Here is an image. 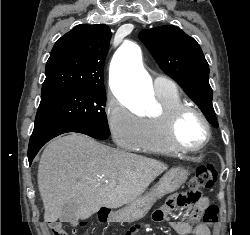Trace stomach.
<instances>
[{
    "label": "stomach",
    "mask_w": 250,
    "mask_h": 235,
    "mask_svg": "<svg viewBox=\"0 0 250 235\" xmlns=\"http://www.w3.org/2000/svg\"><path fill=\"white\" fill-rule=\"evenodd\" d=\"M189 176L182 167L170 169L149 192L139 196L124 208L112 214L111 220L116 222H133L143 218L153 204L163 196L177 191Z\"/></svg>",
    "instance_id": "1"
}]
</instances>
